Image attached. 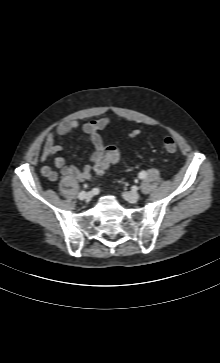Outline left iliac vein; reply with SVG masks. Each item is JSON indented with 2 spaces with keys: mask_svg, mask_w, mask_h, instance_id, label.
Returning <instances> with one entry per match:
<instances>
[{
  "mask_svg": "<svg viewBox=\"0 0 220 363\" xmlns=\"http://www.w3.org/2000/svg\"><path fill=\"white\" fill-rule=\"evenodd\" d=\"M123 196L130 203H136L140 198L139 193L136 191L125 192Z\"/></svg>",
  "mask_w": 220,
  "mask_h": 363,
  "instance_id": "obj_1",
  "label": "left iliac vein"
}]
</instances>
